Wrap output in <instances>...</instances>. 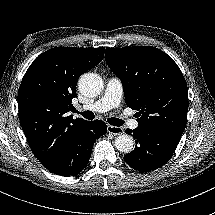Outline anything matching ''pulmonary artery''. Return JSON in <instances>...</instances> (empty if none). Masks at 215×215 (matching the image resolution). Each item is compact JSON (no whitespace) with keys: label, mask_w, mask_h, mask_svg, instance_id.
<instances>
[{"label":"pulmonary artery","mask_w":215,"mask_h":215,"mask_svg":"<svg viewBox=\"0 0 215 215\" xmlns=\"http://www.w3.org/2000/svg\"><path fill=\"white\" fill-rule=\"evenodd\" d=\"M123 89L121 82L115 78L110 79L106 85L102 97L92 105H78L76 109L79 112L94 111L104 112L109 109L115 108L121 102ZM129 127L133 131H138L142 127V122L138 118H133L129 122Z\"/></svg>","instance_id":"1"}]
</instances>
